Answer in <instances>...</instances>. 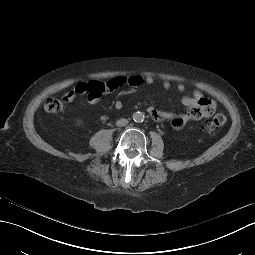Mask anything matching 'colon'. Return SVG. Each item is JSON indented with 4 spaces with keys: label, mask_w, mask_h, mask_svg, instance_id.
Listing matches in <instances>:
<instances>
[{
    "label": "colon",
    "mask_w": 255,
    "mask_h": 255,
    "mask_svg": "<svg viewBox=\"0 0 255 255\" xmlns=\"http://www.w3.org/2000/svg\"><path fill=\"white\" fill-rule=\"evenodd\" d=\"M63 109V102L55 97L48 98L45 103V111L55 114ZM226 123V117L223 114H216L208 120L202 127V130L208 134H214Z\"/></svg>",
    "instance_id": "1"
}]
</instances>
